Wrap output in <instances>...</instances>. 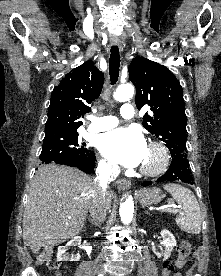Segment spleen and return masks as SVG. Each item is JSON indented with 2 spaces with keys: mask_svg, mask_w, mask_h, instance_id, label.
Here are the masks:
<instances>
[{
  "mask_svg": "<svg viewBox=\"0 0 221 276\" xmlns=\"http://www.w3.org/2000/svg\"><path fill=\"white\" fill-rule=\"evenodd\" d=\"M173 198L182 205L184 213L177 216L175 221L177 226L190 234L198 235L201 232L202 216L201 210L193 192L179 184L168 183L164 185Z\"/></svg>",
  "mask_w": 221,
  "mask_h": 276,
  "instance_id": "1",
  "label": "spleen"
}]
</instances>
